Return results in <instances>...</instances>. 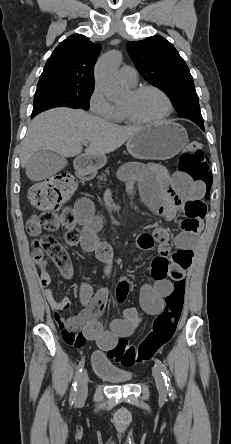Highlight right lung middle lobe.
<instances>
[{
  "instance_id": "obj_1",
  "label": "right lung middle lobe",
  "mask_w": 231,
  "mask_h": 444,
  "mask_svg": "<svg viewBox=\"0 0 231 444\" xmlns=\"http://www.w3.org/2000/svg\"><path fill=\"white\" fill-rule=\"evenodd\" d=\"M94 87L51 85L37 87L34 95L32 117L36 114L54 108L71 107L88 109V99Z\"/></svg>"
}]
</instances>
